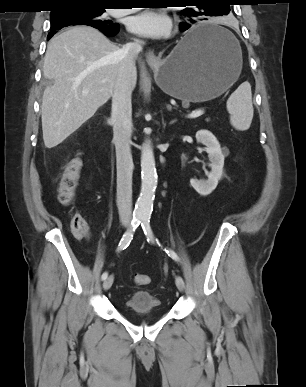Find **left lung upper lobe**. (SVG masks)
<instances>
[{
  "mask_svg": "<svg viewBox=\"0 0 306 387\" xmlns=\"http://www.w3.org/2000/svg\"><path fill=\"white\" fill-rule=\"evenodd\" d=\"M183 3L194 5L193 8L182 10L190 25L207 20L210 16L227 15L230 11L228 0H183Z\"/></svg>",
  "mask_w": 306,
  "mask_h": 387,
  "instance_id": "5c2ea615",
  "label": "left lung upper lobe"
}]
</instances>
